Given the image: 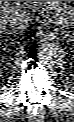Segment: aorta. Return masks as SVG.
Returning <instances> with one entry per match:
<instances>
[{"instance_id":"aorta-1","label":"aorta","mask_w":74,"mask_h":122,"mask_svg":"<svg viewBox=\"0 0 74 122\" xmlns=\"http://www.w3.org/2000/svg\"><path fill=\"white\" fill-rule=\"evenodd\" d=\"M38 57L44 64L56 65L62 60L63 53L57 44L44 41L39 46Z\"/></svg>"}]
</instances>
